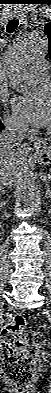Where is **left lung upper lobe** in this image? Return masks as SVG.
<instances>
[{"label": "left lung upper lobe", "instance_id": "obj_1", "mask_svg": "<svg viewBox=\"0 0 51 393\" xmlns=\"http://www.w3.org/2000/svg\"><path fill=\"white\" fill-rule=\"evenodd\" d=\"M44 32L49 40V57L51 59V22L47 23L44 27Z\"/></svg>", "mask_w": 51, "mask_h": 393}]
</instances>
